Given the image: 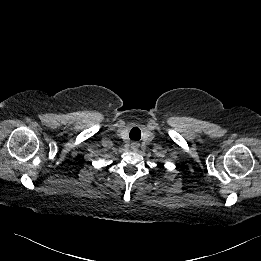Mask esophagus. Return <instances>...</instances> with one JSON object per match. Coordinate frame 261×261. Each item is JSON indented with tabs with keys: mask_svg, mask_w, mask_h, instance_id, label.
<instances>
[{
	"mask_svg": "<svg viewBox=\"0 0 261 261\" xmlns=\"http://www.w3.org/2000/svg\"><path fill=\"white\" fill-rule=\"evenodd\" d=\"M139 147V143L138 142H132L131 143V148L132 150L136 151Z\"/></svg>",
	"mask_w": 261,
	"mask_h": 261,
	"instance_id": "obj_1",
	"label": "esophagus"
}]
</instances>
